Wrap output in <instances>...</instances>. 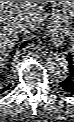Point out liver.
I'll return each instance as SVG.
<instances>
[{"label": "liver", "mask_w": 74, "mask_h": 122, "mask_svg": "<svg viewBox=\"0 0 74 122\" xmlns=\"http://www.w3.org/2000/svg\"><path fill=\"white\" fill-rule=\"evenodd\" d=\"M53 1H0V61H4L20 33L35 31L44 20L43 5ZM24 24L19 30L18 25Z\"/></svg>", "instance_id": "obj_1"}]
</instances>
